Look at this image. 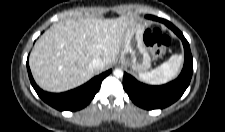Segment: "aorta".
Here are the masks:
<instances>
[{"label":"aorta","instance_id":"762f6f07","mask_svg":"<svg viewBox=\"0 0 225 132\" xmlns=\"http://www.w3.org/2000/svg\"><path fill=\"white\" fill-rule=\"evenodd\" d=\"M113 74H114L115 77H118V78L123 77V71L121 69H115L113 71Z\"/></svg>","mask_w":225,"mask_h":132}]
</instances>
